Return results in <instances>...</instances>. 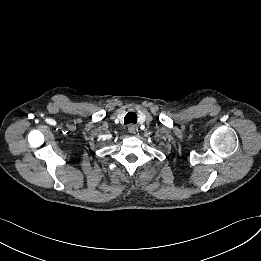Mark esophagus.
I'll list each match as a JSON object with an SVG mask.
<instances>
[{
    "label": "esophagus",
    "mask_w": 261,
    "mask_h": 261,
    "mask_svg": "<svg viewBox=\"0 0 261 261\" xmlns=\"http://www.w3.org/2000/svg\"><path fill=\"white\" fill-rule=\"evenodd\" d=\"M128 131L130 132V133H136V131H137V128L135 127V125H133V124H130L129 126H128Z\"/></svg>",
    "instance_id": "esophagus-1"
}]
</instances>
